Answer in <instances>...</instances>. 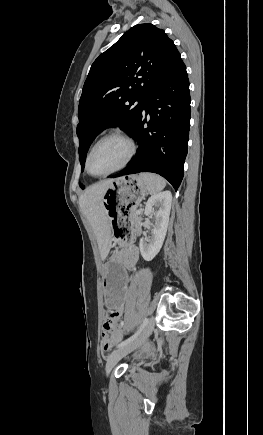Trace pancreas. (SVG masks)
<instances>
[{"label": "pancreas", "mask_w": 263, "mask_h": 435, "mask_svg": "<svg viewBox=\"0 0 263 435\" xmlns=\"http://www.w3.org/2000/svg\"><path fill=\"white\" fill-rule=\"evenodd\" d=\"M142 214V210H140V213L137 214V211L133 210L129 215V221L131 223V229L135 231H139V223L141 220L140 215Z\"/></svg>", "instance_id": "obj_1"}]
</instances>
